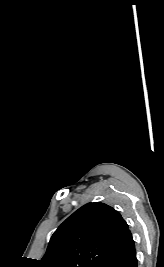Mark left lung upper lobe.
Wrapping results in <instances>:
<instances>
[{"mask_svg":"<svg viewBox=\"0 0 164 267\" xmlns=\"http://www.w3.org/2000/svg\"><path fill=\"white\" fill-rule=\"evenodd\" d=\"M128 229L114 208L88 203L52 235L40 267H100Z\"/></svg>","mask_w":164,"mask_h":267,"instance_id":"obj_1","label":"left lung upper lobe"}]
</instances>
